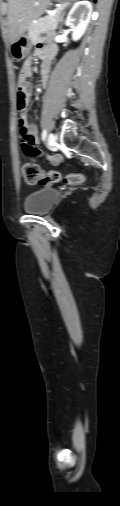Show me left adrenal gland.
<instances>
[{
    "instance_id": "1",
    "label": "left adrenal gland",
    "mask_w": 120,
    "mask_h": 506,
    "mask_svg": "<svg viewBox=\"0 0 120 506\" xmlns=\"http://www.w3.org/2000/svg\"><path fill=\"white\" fill-rule=\"evenodd\" d=\"M63 7L59 9V12L63 11ZM63 17H64V14H62L61 18H60V26H59V29L61 30V27H62V23H63ZM60 32V31H59Z\"/></svg>"
}]
</instances>
